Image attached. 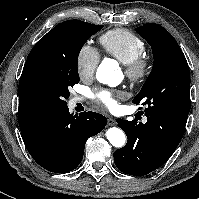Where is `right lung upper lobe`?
<instances>
[{
	"label": "right lung upper lobe",
	"instance_id": "1",
	"mask_svg": "<svg viewBox=\"0 0 199 199\" xmlns=\"http://www.w3.org/2000/svg\"><path fill=\"white\" fill-rule=\"evenodd\" d=\"M49 113L30 105L19 95L18 122L22 138L28 137L35 129L40 127Z\"/></svg>",
	"mask_w": 199,
	"mask_h": 199
}]
</instances>
